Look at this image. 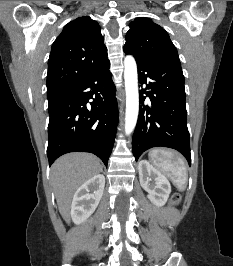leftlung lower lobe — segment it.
I'll use <instances>...</instances> for the list:
<instances>
[{
	"label": "left lung lower lobe",
	"mask_w": 233,
	"mask_h": 266,
	"mask_svg": "<svg viewBox=\"0 0 233 266\" xmlns=\"http://www.w3.org/2000/svg\"><path fill=\"white\" fill-rule=\"evenodd\" d=\"M135 59L139 82L146 84L140 93L139 116L132 139V151L136 161L147 149L162 146L178 150L191 165L181 66Z\"/></svg>",
	"instance_id": "left-lung-lower-lobe-1"
}]
</instances>
